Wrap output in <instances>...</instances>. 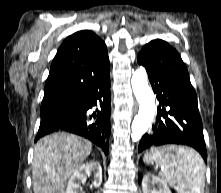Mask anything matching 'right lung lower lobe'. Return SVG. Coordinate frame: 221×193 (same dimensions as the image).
Segmentation results:
<instances>
[{
	"label": "right lung lower lobe",
	"instance_id": "obj_1",
	"mask_svg": "<svg viewBox=\"0 0 221 193\" xmlns=\"http://www.w3.org/2000/svg\"><path fill=\"white\" fill-rule=\"evenodd\" d=\"M75 100L74 111L59 120L40 126L35 141L52 132L65 131L91 140L107 154L111 130L110 64L94 75ZM97 103L100 110L91 115L89 109L97 106Z\"/></svg>",
	"mask_w": 221,
	"mask_h": 193
}]
</instances>
